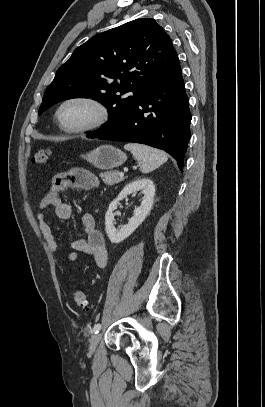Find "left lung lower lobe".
<instances>
[{
  "label": "left lung lower lobe",
  "instance_id": "0a47b994",
  "mask_svg": "<svg viewBox=\"0 0 265 407\" xmlns=\"http://www.w3.org/2000/svg\"><path fill=\"white\" fill-rule=\"evenodd\" d=\"M146 113H150L147 115ZM191 113L181 67L153 84L130 115L99 138L150 145L168 152L183 170Z\"/></svg>",
  "mask_w": 265,
  "mask_h": 407
}]
</instances>
